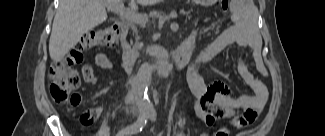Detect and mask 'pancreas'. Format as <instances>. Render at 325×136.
<instances>
[{"instance_id": "obj_1", "label": "pancreas", "mask_w": 325, "mask_h": 136, "mask_svg": "<svg viewBox=\"0 0 325 136\" xmlns=\"http://www.w3.org/2000/svg\"><path fill=\"white\" fill-rule=\"evenodd\" d=\"M169 16H182L180 19L181 24H188L189 19H196V12H189V8L186 5H174L173 9L168 10ZM130 27L134 29V33H136L133 40H140L139 28H135L133 24H130Z\"/></svg>"}]
</instances>
